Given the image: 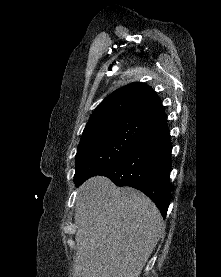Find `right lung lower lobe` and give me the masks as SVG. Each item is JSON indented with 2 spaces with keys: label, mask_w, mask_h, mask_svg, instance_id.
Segmentation results:
<instances>
[{
  "label": "right lung lower lobe",
  "mask_w": 221,
  "mask_h": 277,
  "mask_svg": "<svg viewBox=\"0 0 221 277\" xmlns=\"http://www.w3.org/2000/svg\"><path fill=\"white\" fill-rule=\"evenodd\" d=\"M140 125L143 137L124 158L98 175L108 177L118 186L142 191L165 217L170 203L172 143L163 107L144 115Z\"/></svg>",
  "instance_id": "obj_1"
}]
</instances>
